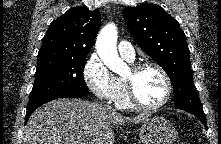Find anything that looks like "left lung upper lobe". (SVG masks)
Masks as SVG:
<instances>
[{
  "label": "left lung upper lobe",
  "mask_w": 221,
  "mask_h": 144,
  "mask_svg": "<svg viewBox=\"0 0 221 144\" xmlns=\"http://www.w3.org/2000/svg\"><path fill=\"white\" fill-rule=\"evenodd\" d=\"M123 17L135 41L169 75L175 107L203 112L193 85L186 36L178 21L153 3L126 7Z\"/></svg>",
  "instance_id": "obj_1"
}]
</instances>
